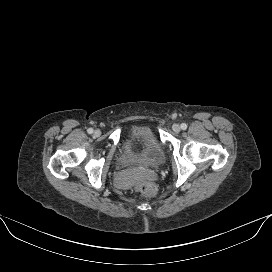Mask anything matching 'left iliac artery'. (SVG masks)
Wrapping results in <instances>:
<instances>
[{"label": "left iliac artery", "instance_id": "obj_1", "mask_svg": "<svg viewBox=\"0 0 272 272\" xmlns=\"http://www.w3.org/2000/svg\"><path fill=\"white\" fill-rule=\"evenodd\" d=\"M181 129L186 130V129H187V124L182 123V124H181Z\"/></svg>", "mask_w": 272, "mask_h": 272}]
</instances>
